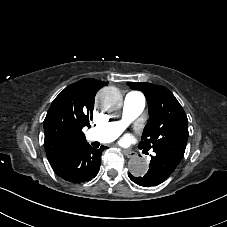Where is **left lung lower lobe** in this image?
<instances>
[{
    "mask_svg": "<svg viewBox=\"0 0 227 227\" xmlns=\"http://www.w3.org/2000/svg\"><path fill=\"white\" fill-rule=\"evenodd\" d=\"M181 159L165 152H155L151 158L149 170L143 177H134L130 173L129 178L141 186H155L164 182L175 170Z\"/></svg>",
    "mask_w": 227,
    "mask_h": 227,
    "instance_id": "left-lung-lower-lobe-1",
    "label": "left lung lower lobe"
}]
</instances>
